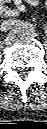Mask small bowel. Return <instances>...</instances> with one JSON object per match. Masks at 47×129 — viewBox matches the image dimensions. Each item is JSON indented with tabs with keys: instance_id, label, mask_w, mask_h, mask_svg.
I'll list each match as a JSON object with an SVG mask.
<instances>
[{
	"instance_id": "obj_1",
	"label": "small bowel",
	"mask_w": 47,
	"mask_h": 129,
	"mask_svg": "<svg viewBox=\"0 0 47 129\" xmlns=\"http://www.w3.org/2000/svg\"><path fill=\"white\" fill-rule=\"evenodd\" d=\"M39 4L40 0H0V13L6 17H13L25 11L27 7Z\"/></svg>"
}]
</instances>
